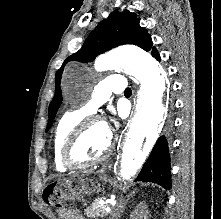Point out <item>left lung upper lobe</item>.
I'll return each mask as SVG.
<instances>
[{
	"mask_svg": "<svg viewBox=\"0 0 221 219\" xmlns=\"http://www.w3.org/2000/svg\"><path fill=\"white\" fill-rule=\"evenodd\" d=\"M139 22L136 13L129 10L112 12L90 33L82 48L64 61L55 75V96L49 105V123L46 131L51 127L62 102L60 82L65 64L70 61L92 62L99 54L124 44L137 45L145 51H151L154 48L151 36Z\"/></svg>",
	"mask_w": 221,
	"mask_h": 219,
	"instance_id": "5c2ea615",
	"label": "left lung upper lobe"
}]
</instances>
